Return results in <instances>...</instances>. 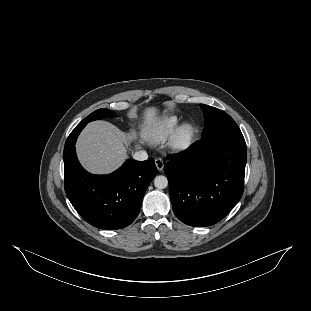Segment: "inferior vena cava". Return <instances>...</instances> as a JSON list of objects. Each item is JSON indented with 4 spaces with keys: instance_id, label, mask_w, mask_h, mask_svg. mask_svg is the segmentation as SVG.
<instances>
[{
    "instance_id": "1",
    "label": "inferior vena cava",
    "mask_w": 311,
    "mask_h": 311,
    "mask_svg": "<svg viewBox=\"0 0 311 311\" xmlns=\"http://www.w3.org/2000/svg\"><path fill=\"white\" fill-rule=\"evenodd\" d=\"M133 159L137 161H145L148 159V154L145 150L136 151L133 154Z\"/></svg>"
}]
</instances>
